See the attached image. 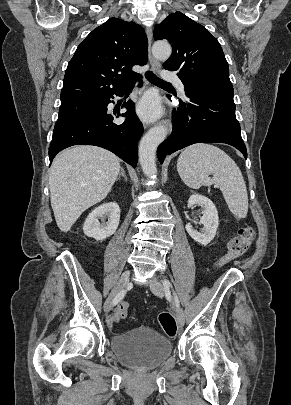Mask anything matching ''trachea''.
I'll use <instances>...</instances> for the list:
<instances>
[{"instance_id": "obj_1", "label": "trachea", "mask_w": 291, "mask_h": 405, "mask_svg": "<svg viewBox=\"0 0 291 405\" xmlns=\"http://www.w3.org/2000/svg\"><path fill=\"white\" fill-rule=\"evenodd\" d=\"M145 76H146L147 80H148L150 83H152V84H155V85H163V86H171L170 83L161 80L159 77H157V76H156L153 72H151V71H147V72L145 73Z\"/></svg>"}]
</instances>
